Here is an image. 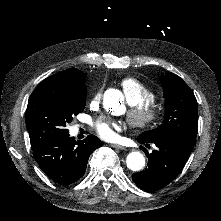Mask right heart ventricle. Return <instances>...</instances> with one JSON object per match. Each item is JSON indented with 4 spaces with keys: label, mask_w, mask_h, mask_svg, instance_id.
Returning <instances> with one entry per match:
<instances>
[{
    "label": "right heart ventricle",
    "mask_w": 221,
    "mask_h": 221,
    "mask_svg": "<svg viewBox=\"0 0 221 221\" xmlns=\"http://www.w3.org/2000/svg\"><path fill=\"white\" fill-rule=\"evenodd\" d=\"M158 96V91L152 87L145 84H139L138 90L135 94L128 97L129 102L133 107H139L142 104H146L151 98H156Z\"/></svg>",
    "instance_id": "e07e8e85"
}]
</instances>
